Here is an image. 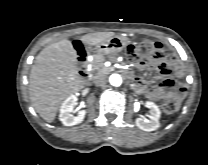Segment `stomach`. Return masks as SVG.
<instances>
[{
    "mask_svg": "<svg viewBox=\"0 0 208 165\" xmlns=\"http://www.w3.org/2000/svg\"><path fill=\"white\" fill-rule=\"evenodd\" d=\"M129 43V39L116 35L96 46L98 52L115 54L123 50Z\"/></svg>",
    "mask_w": 208,
    "mask_h": 165,
    "instance_id": "obj_1",
    "label": "stomach"
}]
</instances>
